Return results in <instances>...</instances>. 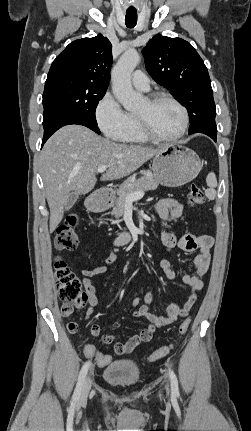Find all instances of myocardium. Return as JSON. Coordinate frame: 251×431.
<instances>
[{"label": "myocardium", "instance_id": "1", "mask_svg": "<svg viewBox=\"0 0 251 431\" xmlns=\"http://www.w3.org/2000/svg\"><path fill=\"white\" fill-rule=\"evenodd\" d=\"M148 103L150 105H155L159 102L162 101H168L173 103L174 105H176L181 113H182V126L179 130V132L173 136L170 137H163L158 135L150 126L148 120L141 116V115H136V119L139 125V128L142 132V134L149 140L151 141H155V142H163V143H171V142H175L179 139H181L187 132L188 126H189V113L187 108L175 97H173L170 94H166V93H157L152 95L150 98H148Z\"/></svg>", "mask_w": 251, "mask_h": 431}]
</instances>
